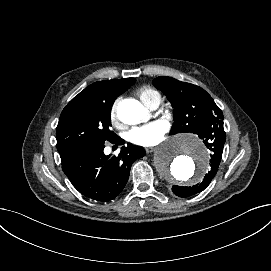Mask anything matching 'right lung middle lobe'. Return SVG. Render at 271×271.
Instances as JSON below:
<instances>
[{"label":"right lung middle lobe","instance_id":"right-lung-middle-lobe-1","mask_svg":"<svg viewBox=\"0 0 271 271\" xmlns=\"http://www.w3.org/2000/svg\"><path fill=\"white\" fill-rule=\"evenodd\" d=\"M135 82L116 80L84 89L63 109L57 125V150L82 144H104L118 138L109 127L115 99Z\"/></svg>","mask_w":271,"mask_h":271}]
</instances>
